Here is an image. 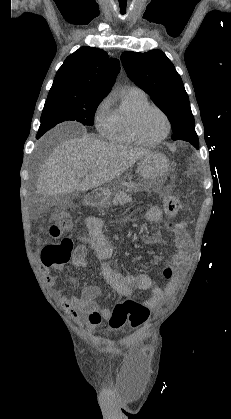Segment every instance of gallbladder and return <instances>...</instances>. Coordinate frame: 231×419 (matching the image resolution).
<instances>
[{"instance_id": "1", "label": "gallbladder", "mask_w": 231, "mask_h": 419, "mask_svg": "<svg viewBox=\"0 0 231 419\" xmlns=\"http://www.w3.org/2000/svg\"><path fill=\"white\" fill-rule=\"evenodd\" d=\"M49 203L52 205H57L61 207L69 206L72 203L71 195H63L61 197H50L48 199Z\"/></svg>"}]
</instances>
